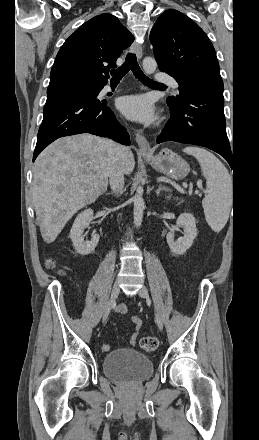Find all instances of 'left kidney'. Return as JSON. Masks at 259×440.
<instances>
[{"label":"left kidney","mask_w":259,"mask_h":440,"mask_svg":"<svg viewBox=\"0 0 259 440\" xmlns=\"http://www.w3.org/2000/svg\"><path fill=\"white\" fill-rule=\"evenodd\" d=\"M176 224L184 230V236L174 240V232H169L166 236L170 250L175 255H183L193 244L197 236L196 220L191 213H182Z\"/></svg>","instance_id":"left-kidney-1"}]
</instances>
